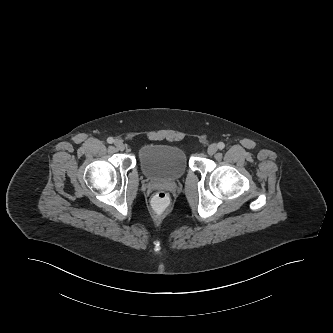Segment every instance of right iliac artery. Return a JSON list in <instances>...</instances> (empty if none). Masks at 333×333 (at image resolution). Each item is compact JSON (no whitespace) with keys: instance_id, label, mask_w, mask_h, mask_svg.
I'll list each match as a JSON object with an SVG mask.
<instances>
[{"instance_id":"right-iliac-artery-1","label":"right iliac artery","mask_w":333,"mask_h":333,"mask_svg":"<svg viewBox=\"0 0 333 333\" xmlns=\"http://www.w3.org/2000/svg\"><path fill=\"white\" fill-rule=\"evenodd\" d=\"M107 142H108L109 144H112V143L114 142V139H113L112 137H109V138L107 139Z\"/></svg>"}]
</instances>
